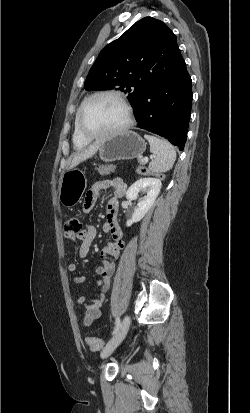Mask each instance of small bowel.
I'll list each match as a JSON object with an SVG mask.
<instances>
[{"label":"small bowel","mask_w":250,"mask_h":413,"mask_svg":"<svg viewBox=\"0 0 250 413\" xmlns=\"http://www.w3.org/2000/svg\"><path fill=\"white\" fill-rule=\"evenodd\" d=\"M112 189V194L107 202V215L103 224V231L110 235V241L100 251L99 265L96 269L97 286L99 294L92 300H87L85 295L77 296V303L85 307L84 324L90 325L95 319L101 315V306L105 299V292L110 287V281L114 272L115 262L119 258L121 251L124 248L123 233L117 222L118 200L121 198L126 190L125 183L120 178L110 180H101L93 184L91 189L87 192L84 201V212L91 211L95 201L100 193L105 189ZM97 230L93 225H87L85 229L78 231L81 244L78 249L80 259H85L90 251L91 244L95 239ZM75 263H69L68 269L71 272L77 271ZM86 281V276L82 274L75 275L74 282L82 284Z\"/></svg>","instance_id":"1"}]
</instances>
